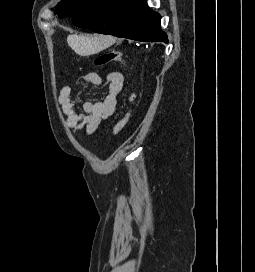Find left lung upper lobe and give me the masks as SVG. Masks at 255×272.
<instances>
[{
	"mask_svg": "<svg viewBox=\"0 0 255 272\" xmlns=\"http://www.w3.org/2000/svg\"><path fill=\"white\" fill-rule=\"evenodd\" d=\"M90 0H62L57 5V11L60 18L72 16Z\"/></svg>",
	"mask_w": 255,
	"mask_h": 272,
	"instance_id": "obj_1",
	"label": "left lung upper lobe"
}]
</instances>
